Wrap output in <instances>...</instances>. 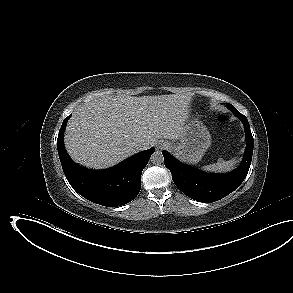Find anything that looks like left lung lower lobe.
Returning a JSON list of instances; mask_svg holds the SVG:
<instances>
[{"instance_id":"1","label":"left lung lower lobe","mask_w":293,"mask_h":293,"mask_svg":"<svg viewBox=\"0 0 293 293\" xmlns=\"http://www.w3.org/2000/svg\"><path fill=\"white\" fill-rule=\"evenodd\" d=\"M235 116L244 125L247 145L240 166L230 173H206L180 163L167 151H163L165 166L171 171L174 183L188 197L206 203L218 201L237 189L245 179L252 160L253 136L246 116Z\"/></svg>"}]
</instances>
